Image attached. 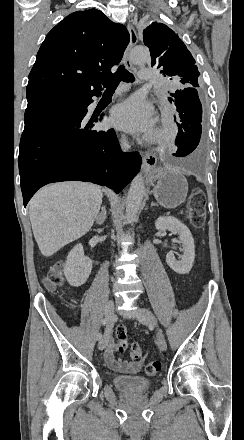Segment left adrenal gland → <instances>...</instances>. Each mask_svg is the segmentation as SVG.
Segmentation results:
<instances>
[{"mask_svg":"<svg viewBox=\"0 0 244 440\" xmlns=\"http://www.w3.org/2000/svg\"><path fill=\"white\" fill-rule=\"evenodd\" d=\"M151 206H158V204H154V202H151Z\"/></svg>","mask_w":244,"mask_h":440,"instance_id":"obj_1","label":"left adrenal gland"}]
</instances>
